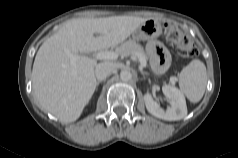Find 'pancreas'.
I'll use <instances>...</instances> for the list:
<instances>
[{"label": "pancreas", "instance_id": "pancreas-1", "mask_svg": "<svg viewBox=\"0 0 238 158\" xmlns=\"http://www.w3.org/2000/svg\"><path fill=\"white\" fill-rule=\"evenodd\" d=\"M115 52L121 57L132 56L138 60L140 57H142L145 59V61H147V57L142 46L136 43L134 40H128L120 44L115 48Z\"/></svg>", "mask_w": 238, "mask_h": 158}]
</instances>
